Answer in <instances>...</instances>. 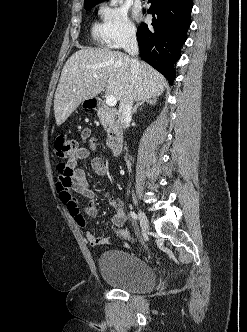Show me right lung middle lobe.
<instances>
[{"instance_id": "1", "label": "right lung middle lobe", "mask_w": 247, "mask_h": 332, "mask_svg": "<svg viewBox=\"0 0 247 332\" xmlns=\"http://www.w3.org/2000/svg\"><path fill=\"white\" fill-rule=\"evenodd\" d=\"M96 4H92V5H85L84 8L89 10L91 8H93Z\"/></svg>"}]
</instances>
